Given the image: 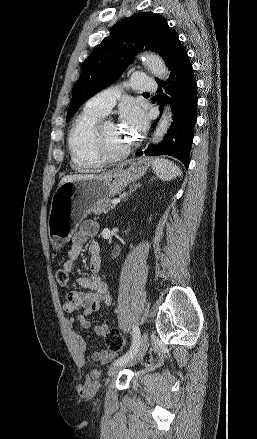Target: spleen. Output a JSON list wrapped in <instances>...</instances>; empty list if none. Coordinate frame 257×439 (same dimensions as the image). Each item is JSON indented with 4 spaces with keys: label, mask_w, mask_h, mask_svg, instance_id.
<instances>
[{
    "label": "spleen",
    "mask_w": 257,
    "mask_h": 439,
    "mask_svg": "<svg viewBox=\"0 0 257 439\" xmlns=\"http://www.w3.org/2000/svg\"><path fill=\"white\" fill-rule=\"evenodd\" d=\"M151 167L157 177L163 181H170L177 176H181L180 168L172 161L164 158H155L151 162Z\"/></svg>",
    "instance_id": "obj_1"
}]
</instances>
